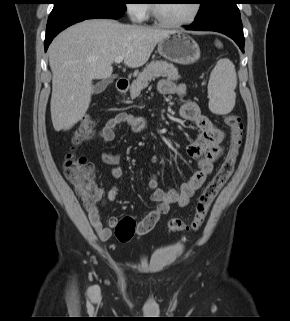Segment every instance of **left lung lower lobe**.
Instances as JSON below:
<instances>
[{"label": "left lung lower lobe", "instance_id": "left-lung-lower-lobe-1", "mask_svg": "<svg viewBox=\"0 0 290 321\" xmlns=\"http://www.w3.org/2000/svg\"><path fill=\"white\" fill-rule=\"evenodd\" d=\"M239 0H230L213 14L195 20L191 26H185L188 30L216 31L233 39L244 52V35L240 11L236 4Z\"/></svg>", "mask_w": 290, "mask_h": 321}]
</instances>
